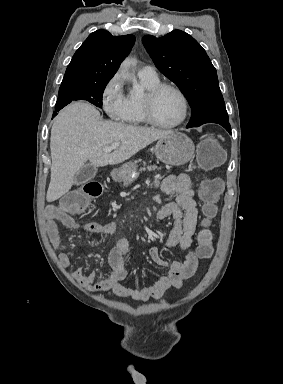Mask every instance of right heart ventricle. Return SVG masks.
<instances>
[{"label": "right heart ventricle", "instance_id": "right-heart-ventricle-1", "mask_svg": "<svg viewBox=\"0 0 283 384\" xmlns=\"http://www.w3.org/2000/svg\"><path fill=\"white\" fill-rule=\"evenodd\" d=\"M139 81L146 89H149L150 87L159 83V80L149 81L140 77ZM125 123L135 127H141L146 125L142 114L141 98L127 96Z\"/></svg>", "mask_w": 283, "mask_h": 384}]
</instances>
